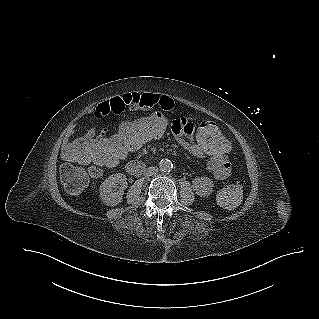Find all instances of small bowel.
I'll return each mask as SVG.
<instances>
[{"label": "small bowel", "mask_w": 319, "mask_h": 319, "mask_svg": "<svg viewBox=\"0 0 319 319\" xmlns=\"http://www.w3.org/2000/svg\"><path fill=\"white\" fill-rule=\"evenodd\" d=\"M154 107L169 111L175 107V103L173 99L168 96L154 93H132L124 94L113 99H102L101 103L97 105L92 113V116L87 120L85 132L87 136L92 139L106 137L105 134L111 129V121L123 117L127 108L150 109ZM127 124L122 126H126ZM169 129L172 131V134L180 146L192 156L203 158L209 155L206 150L200 148L195 143L194 139L189 141L191 135L195 133V122L190 121L189 115H175L174 121L169 122ZM71 135L72 132H69L67 137H71ZM206 167L217 181L225 180L231 173V164L227 156L220 159L211 157Z\"/></svg>", "instance_id": "small-bowel-1"}]
</instances>
